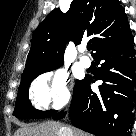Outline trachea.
Returning a JSON list of instances; mask_svg holds the SVG:
<instances>
[{
  "label": "trachea",
  "instance_id": "trachea-1",
  "mask_svg": "<svg viewBox=\"0 0 136 136\" xmlns=\"http://www.w3.org/2000/svg\"><path fill=\"white\" fill-rule=\"evenodd\" d=\"M87 49L90 50L91 49V44L87 45Z\"/></svg>",
  "mask_w": 136,
  "mask_h": 136
}]
</instances>
